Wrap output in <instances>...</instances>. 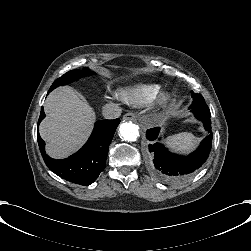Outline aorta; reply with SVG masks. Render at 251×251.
I'll list each match as a JSON object with an SVG mask.
<instances>
[{
    "mask_svg": "<svg viewBox=\"0 0 251 251\" xmlns=\"http://www.w3.org/2000/svg\"><path fill=\"white\" fill-rule=\"evenodd\" d=\"M120 136L125 141H136L139 136L138 126L132 122L122 123L119 127Z\"/></svg>",
    "mask_w": 251,
    "mask_h": 251,
    "instance_id": "762f6f07",
    "label": "aorta"
}]
</instances>
